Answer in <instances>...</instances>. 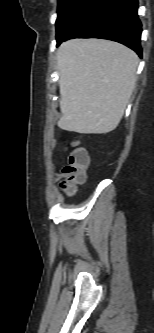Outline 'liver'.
I'll return each instance as SVG.
<instances>
[{
	"label": "liver",
	"mask_w": 154,
	"mask_h": 333,
	"mask_svg": "<svg viewBox=\"0 0 154 333\" xmlns=\"http://www.w3.org/2000/svg\"><path fill=\"white\" fill-rule=\"evenodd\" d=\"M138 62L134 51L117 42H64L57 51L62 113L58 126L81 134L113 131L132 95Z\"/></svg>",
	"instance_id": "1"
}]
</instances>
